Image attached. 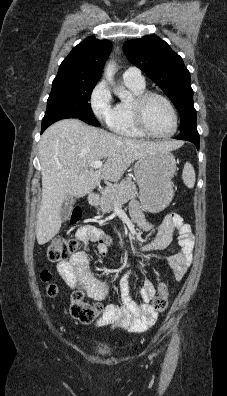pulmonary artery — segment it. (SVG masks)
<instances>
[{"label":"pulmonary artery","mask_w":227,"mask_h":396,"mask_svg":"<svg viewBox=\"0 0 227 396\" xmlns=\"http://www.w3.org/2000/svg\"><path fill=\"white\" fill-rule=\"evenodd\" d=\"M124 81L127 82H135L139 84L145 83L144 77L141 71L136 67H129L127 68L122 75Z\"/></svg>","instance_id":"1"}]
</instances>
